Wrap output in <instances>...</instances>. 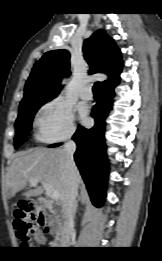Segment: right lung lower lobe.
Listing matches in <instances>:
<instances>
[{
    "instance_id": "right-lung-lower-lobe-1",
    "label": "right lung lower lobe",
    "mask_w": 162,
    "mask_h": 261,
    "mask_svg": "<svg viewBox=\"0 0 162 261\" xmlns=\"http://www.w3.org/2000/svg\"><path fill=\"white\" fill-rule=\"evenodd\" d=\"M114 88L102 90L101 98L92 109L95 125L91 129L78 126L73 140L77 144L74 155L75 162L86 184L92 203L100 207L105 200L106 182L108 178V160L104 139L105 119L112 109ZM60 144H53L56 147Z\"/></svg>"
}]
</instances>
